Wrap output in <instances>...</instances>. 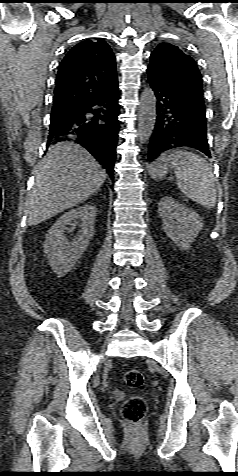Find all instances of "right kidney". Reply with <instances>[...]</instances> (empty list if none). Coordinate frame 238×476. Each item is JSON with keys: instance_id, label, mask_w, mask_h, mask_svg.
Here are the masks:
<instances>
[{"instance_id": "obj_1", "label": "right kidney", "mask_w": 238, "mask_h": 476, "mask_svg": "<svg viewBox=\"0 0 238 476\" xmlns=\"http://www.w3.org/2000/svg\"><path fill=\"white\" fill-rule=\"evenodd\" d=\"M96 214L95 206L85 204L62 215L48 231L44 252L58 277L65 276L86 251L93 237ZM73 221L80 224V230L70 242L64 236V230Z\"/></svg>"}]
</instances>
